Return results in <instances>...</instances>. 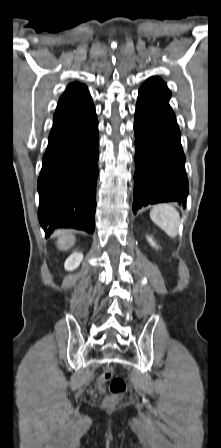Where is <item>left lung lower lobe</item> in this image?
Returning <instances> with one entry per match:
<instances>
[{
  "mask_svg": "<svg viewBox=\"0 0 221 448\" xmlns=\"http://www.w3.org/2000/svg\"><path fill=\"white\" fill-rule=\"evenodd\" d=\"M166 96L141 87L135 111V174L133 212L141 206L178 202L188 195L181 133Z\"/></svg>",
  "mask_w": 221,
  "mask_h": 448,
  "instance_id": "1",
  "label": "left lung lower lobe"
}]
</instances>
